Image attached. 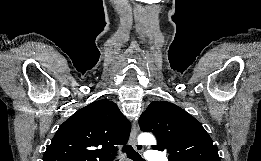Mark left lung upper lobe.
<instances>
[{
  "label": "left lung upper lobe",
  "instance_id": "1",
  "mask_svg": "<svg viewBox=\"0 0 261 161\" xmlns=\"http://www.w3.org/2000/svg\"><path fill=\"white\" fill-rule=\"evenodd\" d=\"M142 131L157 138L153 149L169 153V161H221L216 145L199 121L181 107L151 102L139 119Z\"/></svg>",
  "mask_w": 261,
  "mask_h": 161
}]
</instances>
